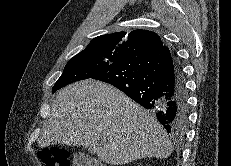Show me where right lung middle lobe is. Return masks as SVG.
<instances>
[{"instance_id": "1", "label": "right lung middle lobe", "mask_w": 231, "mask_h": 166, "mask_svg": "<svg viewBox=\"0 0 231 166\" xmlns=\"http://www.w3.org/2000/svg\"><path fill=\"white\" fill-rule=\"evenodd\" d=\"M119 61H121V58L117 56L83 50L67 63L62 75L53 87V93L70 83L91 78L106 67Z\"/></svg>"}]
</instances>
